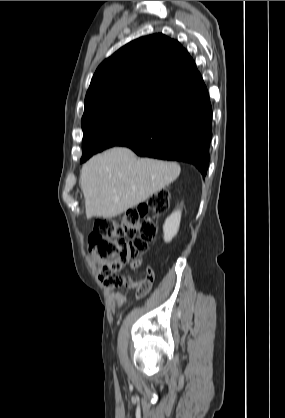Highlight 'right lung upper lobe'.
Wrapping results in <instances>:
<instances>
[{"label": "right lung upper lobe", "mask_w": 285, "mask_h": 418, "mask_svg": "<svg viewBox=\"0 0 285 418\" xmlns=\"http://www.w3.org/2000/svg\"><path fill=\"white\" fill-rule=\"evenodd\" d=\"M204 86L193 58L178 41L163 34L141 37L99 65L85 97L83 117L134 100L169 107Z\"/></svg>", "instance_id": "right-lung-upper-lobe-1"}]
</instances>
